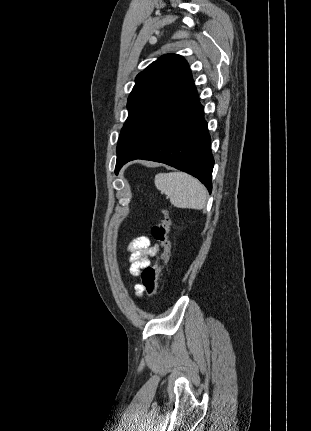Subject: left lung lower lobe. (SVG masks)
<instances>
[{
    "label": "left lung lower lobe",
    "instance_id": "0a47b994",
    "mask_svg": "<svg viewBox=\"0 0 311 431\" xmlns=\"http://www.w3.org/2000/svg\"><path fill=\"white\" fill-rule=\"evenodd\" d=\"M210 141L192 79L151 118L130 147L117 155L115 173L131 160L157 161L193 175L211 193L214 158Z\"/></svg>",
    "mask_w": 311,
    "mask_h": 431
}]
</instances>
